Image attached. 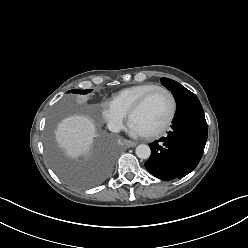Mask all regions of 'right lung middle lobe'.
I'll return each instance as SVG.
<instances>
[{"label": "right lung middle lobe", "mask_w": 248, "mask_h": 248, "mask_svg": "<svg viewBox=\"0 0 248 248\" xmlns=\"http://www.w3.org/2000/svg\"><path fill=\"white\" fill-rule=\"evenodd\" d=\"M70 92L87 94L91 90H70L67 93ZM47 149L50 162L59 176L78 187H91L100 183L108 174L114 157L112 147L104 142L91 160H72L57 148L51 133L48 134Z\"/></svg>", "instance_id": "dd1d6c3e"}]
</instances>
